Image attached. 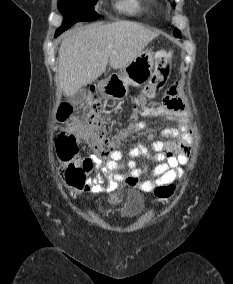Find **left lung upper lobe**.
Returning a JSON list of instances; mask_svg holds the SVG:
<instances>
[{"instance_id": "obj_1", "label": "left lung upper lobe", "mask_w": 233, "mask_h": 284, "mask_svg": "<svg viewBox=\"0 0 233 284\" xmlns=\"http://www.w3.org/2000/svg\"><path fill=\"white\" fill-rule=\"evenodd\" d=\"M174 6H175V4H174ZM173 34H174V36H176V37H181V33H180V31H179L178 29H175V31L173 32Z\"/></svg>"}]
</instances>
